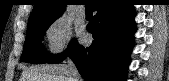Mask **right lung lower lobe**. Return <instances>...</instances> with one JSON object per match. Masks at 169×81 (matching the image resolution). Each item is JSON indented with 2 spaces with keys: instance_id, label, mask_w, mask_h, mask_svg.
Returning <instances> with one entry per match:
<instances>
[{
  "instance_id": "obj_1",
  "label": "right lung lower lobe",
  "mask_w": 169,
  "mask_h": 81,
  "mask_svg": "<svg viewBox=\"0 0 169 81\" xmlns=\"http://www.w3.org/2000/svg\"><path fill=\"white\" fill-rule=\"evenodd\" d=\"M97 14L87 25L93 35L90 47L73 40L68 52L85 81H125L135 32V10L125 0H96ZM67 51L48 63L62 62Z\"/></svg>"
}]
</instances>
